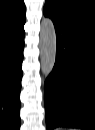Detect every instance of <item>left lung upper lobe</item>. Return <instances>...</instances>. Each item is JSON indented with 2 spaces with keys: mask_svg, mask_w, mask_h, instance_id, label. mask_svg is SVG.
<instances>
[{
  "mask_svg": "<svg viewBox=\"0 0 95 130\" xmlns=\"http://www.w3.org/2000/svg\"><path fill=\"white\" fill-rule=\"evenodd\" d=\"M44 15L54 23L70 21L95 31L94 0H46Z\"/></svg>",
  "mask_w": 95,
  "mask_h": 130,
  "instance_id": "1",
  "label": "left lung upper lobe"
}]
</instances>
